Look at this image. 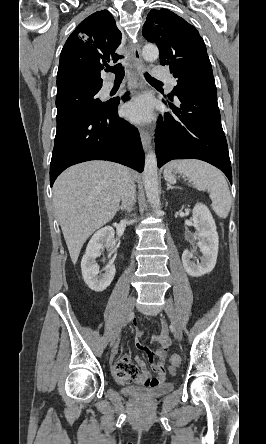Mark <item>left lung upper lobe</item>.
<instances>
[{
    "label": "left lung upper lobe",
    "instance_id": "1",
    "mask_svg": "<svg viewBox=\"0 0 266 444\" xmlns=\"http://www.w3.org/2000/svg\"><path fill=\"white\" fill-rule=\"evenodd\" d=\"M142 34L157 44L160 63L177 78L170 100L173 95L217 94L205 43L194 26L167 9H152Z\"/></svg>",
    "mask_w": 266,
    "mask_h": 444
}]
</instances>
